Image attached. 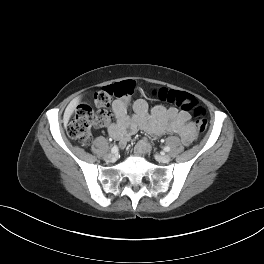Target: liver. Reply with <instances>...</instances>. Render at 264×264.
<instances>
[{
    "instance_id": "6515ba94",
    "label": "liver",
    "mask_w": 264,
    "mask_h": 264,
    "mask_svg": "<svg viewBox=\"0 0 264 264\" xmlns=\"http://www.w3.org/2000/svg\"><path fill=\"white\" fill-rule=\"evenodd\" d=\"M80 99H81V96L75 97L73 100L70 101V103L66 107L65 112H64V116H63V121H64L65 126L67 125L71 115L76 110V107L80 102Z\"/></svg>"
}]
</instances>
